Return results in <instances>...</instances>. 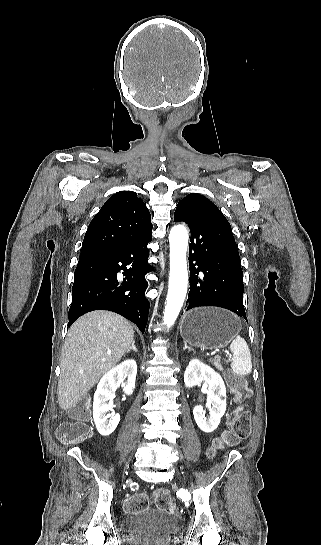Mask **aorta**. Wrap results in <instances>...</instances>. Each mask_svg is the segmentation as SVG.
Listing matches in <instances>:
<instances>
[{
    "instance_id": "obj_1",
    "label": "aorta",
    "mask_w": 321,
    "mask_h": 545,
    "mask_svg": "<svg viewBox=\"0 0 321 545\" xmlns=\"http://www.w3.org/2000/svg\"><path fill=\"white\" fill-rule=\"evenodd\" d=\"M170 275L164 324L169 328L177 319L183 306L188 285L187 247L188 232L184 225H175L169 234Z\"/></svg>"
}]
</instances>
